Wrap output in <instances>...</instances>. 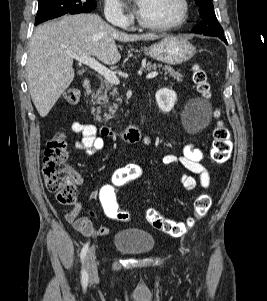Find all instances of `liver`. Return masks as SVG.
I'll list each match as a JSON object with an SVG mask.
<instances>
[{
    "instance_id": "1",
    "label": "liver",
    "mask_w": 267,
    "mask_h": 301,
    "mask_svg": "<svg viewBox=\"0 0 267 301\" xmlns=\"http://www.w3.org/2000/svg\"><path fill=\"white\" fill-rule=\"evenodd\" d=\"M158 35H131L116 30L95 14L66 15L36 28L28 50L27 83L41 117L48 115L74 79L69 53L94 56L114 65L121 55L116 40H155Z\"/></svg>"
}]
</instances>
